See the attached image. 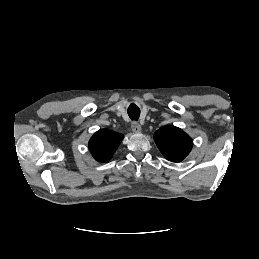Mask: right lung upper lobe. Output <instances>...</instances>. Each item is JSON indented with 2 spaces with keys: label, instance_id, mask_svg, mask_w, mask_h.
<instances>
[{
  "label": "right lung upper lobe",
  "instance_id": "1",
  "mask_svg": "<svg viewBox=\"0 0 259 259\" xmlns=\"http://www.w3.org/2000/svg\"><path fill=\"white\" fill-rule=\"evenodd\" d=\"M122 139V134L102 129L96 132L90 139L89 149L95 160L106 162L111 159Z\"/></svg>",
  "mask_w": 259,
  "mask_h": 259
}]
</instances>
